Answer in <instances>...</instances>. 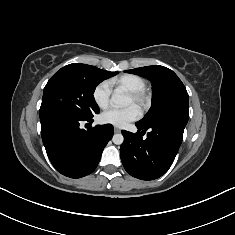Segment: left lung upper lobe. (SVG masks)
<instances>
[{"instance_id": "5c2ea615", "label": "left lung upper lobe", "mask_w": 235, "mask_h": 235, "mask_svg": "<svg viewBox=\"0 0 235 235\" xmlns=\"http://www.w3.org/2000/svg\"><path fill=\"white\" fill-rule=\"evenodd\" d=\"M152 82V107L138 123L177 122L186 125L189 118L188 93L178 76L164 66H146L126 70Z\"/></svg>"}]
</instances>
